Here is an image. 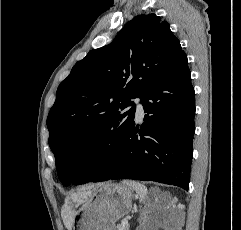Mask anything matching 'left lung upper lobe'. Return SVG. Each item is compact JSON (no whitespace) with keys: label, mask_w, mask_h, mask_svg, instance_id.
I'll use <instances>...</instances> for the list:
<instances>
[{"label":"left lung upper lobe","mask_w":241,"mask_h":230,"mask_svg":"<svg viewBox=\"0 0 241 230\" xmlns=\"http://www.w3.org/2000/svg\"><path fill=\"white\" fill-rule=\"evenodd\" d=\"M184 51L166 21L136 16L107 46L90 51L60 83L47 127L58 177L70 184L76 162L98 142L117 141L142 98Z\"/></svg>","instance_id":"5c2ea615"}]
</instances>
